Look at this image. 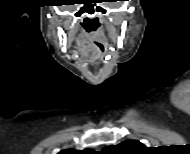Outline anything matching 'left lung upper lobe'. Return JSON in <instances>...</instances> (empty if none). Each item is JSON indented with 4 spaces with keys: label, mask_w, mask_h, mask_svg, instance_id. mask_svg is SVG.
Returning <instances> with one entry per match:
<instances>
[{
    "label": "left lung upper lobe",
    "mask_w": 190,
    "mask_h": 154,
    "mask_svg": "<svg viewBox=\"0 0 190 154\" xmlns=\"http://www.w3.org/2000/svg\"><path fill=\"white\" fill-rule=\"evenodd\" d=\"M146 149V146L136 140L122 142L116 146L106 147L103 151L112 153H136Z\"/></svg>",
    "instance_id": "obj_1"
}]
</instances>
